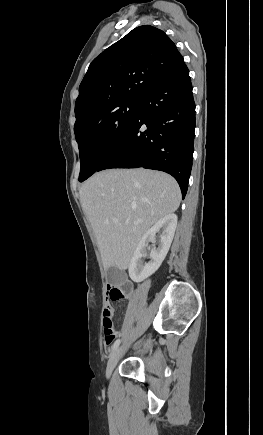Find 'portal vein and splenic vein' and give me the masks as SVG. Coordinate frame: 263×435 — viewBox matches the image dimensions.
<instances>
[{"label": "portal vein and splenic vein", "mask_w": 263, "mask_h": 435, "mask_svg": "<svg viewBox=\"0 0 263 435\" xmlns=\"http://www.w3.org/2000/svg\"><path fill=\"white\" fill-rule=\"evenodd\" d=\"M113 223H114V224H118V223H119V220H118V219H113Z\"/></svg>", "instance_id": "18ae733b"}]
</instances>
